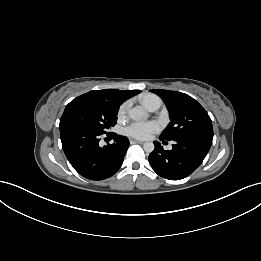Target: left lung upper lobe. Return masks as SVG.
Returning a JSON list of instances; mask_svg holds the SVG:
<instances>
[{
  "instance_id": "obj_1",
  "label": "left lung upper lobe",
  "mask_w": 261,
  "mask_h": 261,
  "mask_svg": "<svg viewBox=\"0 0 261 261\" xmlns=\"http://www.w3.org/2000/svg\"><path fill=\"white\" fill-rule=\"evenodd\" d=\"M166 104L171 122L160 135L164 140L180 138L213 139L211 119L205 109L191 96L170 90H150Z\"/></svg>"
}]
</instances>
